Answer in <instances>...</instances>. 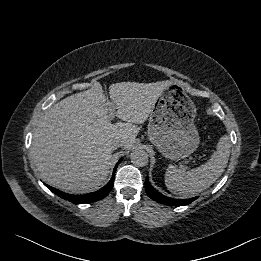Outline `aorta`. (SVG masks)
Masks as SVG:
<instances>
[{
  "instance_id": "1",
  "label": "aorta",
  "mask_w": 261,
  "mask_h": 261,
  "mask_svg": "<svg viewBox=\"0 0 261 261\" xmlns=\"http://www.w3.org/2000/svg\"><path fill=\"white\" fill-rule=\"evenodd\" d=\"M131 162L137 167H144L148 164L149 156L142 149H135L130 154Z\"/></svg>"
}]
</instances>
